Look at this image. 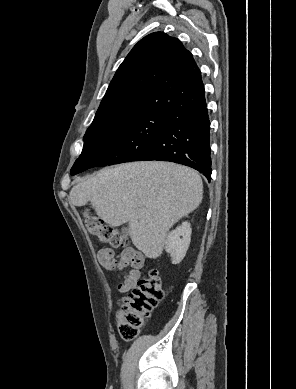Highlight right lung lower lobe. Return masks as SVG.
<instances>
[{
    "instance_id": "right-lung-lower-lobe-1",
    "label": "right lung lower lobe",
    "mask_w": 296,
    "mask_h": 389,
    "mask_svg": "<svg viewBox=\"0 0 296 389\" xmlns=\"http://www.w3.org/2000/svg\"><path fill=\"white\" fill-rule=\"evenodd\" d=\"M206 103L175 116L138 161H170L192 167L211 180L210 120ZM89 165L71 169L80 173Z\"/></svg>"
}]
</instances>
